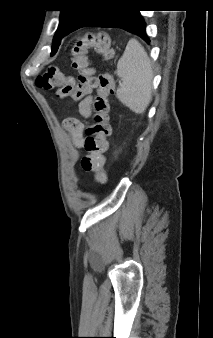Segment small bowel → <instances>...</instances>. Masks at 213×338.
<instances>
[{
    "label": "small bowel",
    "instance_id": "c3829d8e",
    "mask_svg": "<svg viewBox=\"0 0 213 338\" xmlns=\"http://www.w3.org/2000/svg\"><path fill=\"white\" fill-rule=\"evenodd\" d=\"M92 98L90 96L85 97L79 104V113L82 117L88 118L92 114ZM78 121V127L75 130H68L69 137L71 139V142L73 146L78 150V151H83L85 146V136H84V131L86 128V124L81 121Z\"/></svg>",
    "mask_w": 213,
    "mask_h": 338
}]
</instances>
